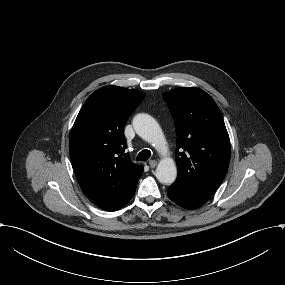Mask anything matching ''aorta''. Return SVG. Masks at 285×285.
<instances>
[{
    "label": "aorta",
    "instance_id": "762f6f07",
    "mask_svg": "<svg viewBox=\"0 0 285 285\" xmlns=\"http://www.w3.org/2000/svg\"><path fill=\"white\" fill-rule=\"evenodd\" d=\"M136 133L154 146L162 155L167 154V143L157 121L148 114H137L133 118ZM177 177V167L172 158L165 156L156 168V178L160 183L172 184Z\"/></svg>",
    "mask_w": 285,
    "mask_h": 285
}]
</instances>
